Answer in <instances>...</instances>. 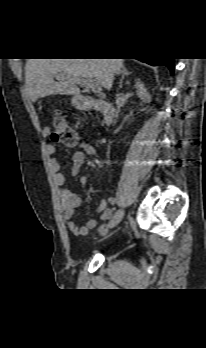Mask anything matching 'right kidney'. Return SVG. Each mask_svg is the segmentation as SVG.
<instances>
[{
	"label": "right kidney",
	"instance_id": "obj_1",
	"mask_svg": "<svg viewBox=\"0 0 206 348\" xmlns=\"http://www.w3.org/2000/svg\"><path fill=\"white\" fill-rule=\"evenodd\" d=\"M137 95L144 103H150L151 102V95L148 93L147 89L144 87V84L142 82H137L135 85ZM129 119V116L125 117L124 121H127Z\"/></svg>",
	"mask_w": 206,
	"mask_h": 348
}]
</instances>
